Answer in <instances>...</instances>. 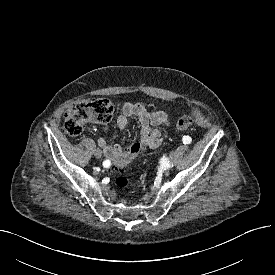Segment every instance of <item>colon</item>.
Listing matches in <instances>:
<instances>
[{"mask_svg": "<svg viewBox=\"0 0 275 275\" xmlns=\"http://www.w3.org/2000/svg\"><path fill=\"white\" fill-rule=\"evenodd\" d=\"M114 112L113 104L105 98H87L80 100L67 109L64 115V131L70 136L79 135L87 123L107 124L112 119ZM195 122L194 112L188 110L182 115L176 126L179 130H185ZM142 150L139 143L131 147L129 156L114 161L112 169L121 172L130 161L135 158ZM115 186L124 190L128 188L130 182L125 176H118L114 181Z\"/></svg>", "mask_w": 275, "mask_h": 275, "instance_id": "colon-1", "label": "colon"}]
</instances>
